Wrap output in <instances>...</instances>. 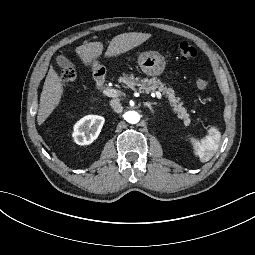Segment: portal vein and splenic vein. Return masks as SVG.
<instances>
[{
	"label": "portal vein and splenic vein",
	"instance_id": "18ae733b",
	"mask_svg": "<svg viewBox=\"0 0 255 255\" xmlns=\"http://www.w3.org/2000/svg\"><path fill=\"white\" fill-rule=\"evenodd\" d=\"M103 94L109 97H116L117 96V91L114 90L113 88H105L103 90ZM153 97H157L159 100L162 99V94L160 92H156L152 94Z\"/></svg>",
	"mask_w": 255,
	"mask_h": 255
}]
</instances>
